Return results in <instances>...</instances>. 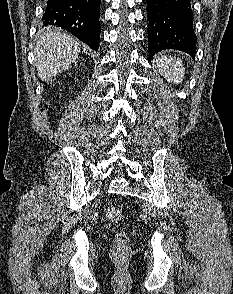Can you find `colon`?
<instances>
[{"label": "colon", "instance_id": "5ec220e1", "mask_svg": "<svg viewBox=\"0 0 233 294\" xmlns=\"http://www.w3.org/2000/svg\"><path fill=\"white\" fill-rule=\"evenodd\" d=\"M107 219L112 223H118L123 217V212L119 207H110L106 212ZM129 238L125 232H120L116 236L114 252L118 258H123L128 254Z\"/></svg>", "mask_w": 233, "mask_h": 294}]
</instances>
